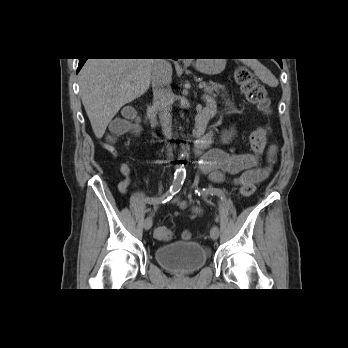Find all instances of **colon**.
<instances>
[{
	"label": "colon",
	"mask_w": 348,
	"mask_h": 348,
	"mask_svg": "<svg viewBox=\"0 0 348 348\" xmlns=\"http://www.w3.org/2000/svg\"><path fill=\"white\" fill-rule=\"evenodd\" d=\"M235 79L247 101L257 106L261 111L267 112L270 105L267 90L265 86L253 76L251 71L246 67L238 68L235 72ZM137 122L138 116L136 110L133 108L125 110L123 118L113 123V135L116 136L128 131H135ZM269 135L270 129L268 127H259L250 134V146L256 156H260L264 152ZM113 140L114 137L108 142L107 149L115 154L112 145ZM254 190L255 186L253 184L242 185L239 194L241 197H249L253 194ZM171 236L170 230L164 225H159L154 230V237L158 241H168L171 239ZM183 237L185 239L190 238V233L187 231L184 232Z\"/></svg>",
	"instance_id": "obj_1"
}]
</instances>
